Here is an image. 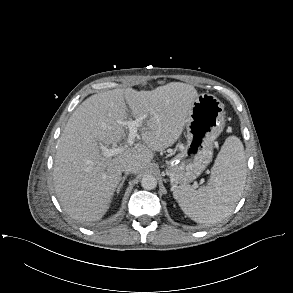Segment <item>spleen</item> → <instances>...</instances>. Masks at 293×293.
Wrapping results in <instances>:
<instances>
[{
  "mask_svg": "<svg viewBox=\"0 0 293 293\" xmlns=\"http://www.w3.org/2000/svg\"><path fill=\"white\" fill-rule=\"evenodd\" d=\"M246 181V157L239 138L228 137L217 155L206 186L195 190L178 186L173 196L193 221L214 224L229 216L239 201Z\"/></svg>",
  "mask_w": 293,
  "mask_h": 293,
  "instance_id": "3e777b00",
  "label": "spleen"
}]
</instances>
